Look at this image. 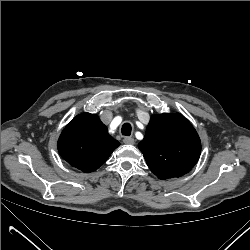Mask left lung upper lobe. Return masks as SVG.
<instances>
[{
  "instance_id": "1",
  "label": "left lung upper lobe",
  "mask_w": 250,
  "mask_h": 250,
  "mask_svg": "<svg viewBox=\"0 0 250 250\" xmlns=\"http://www.w3.org/2000/svg\"><path fill=\"white\" fill-rule=\"evenodd\" d=\"M138 147L150 170L162 180L188 173L201 153L196 130L180 113L153 115Z\"/></svg>"
}]
</instances>
